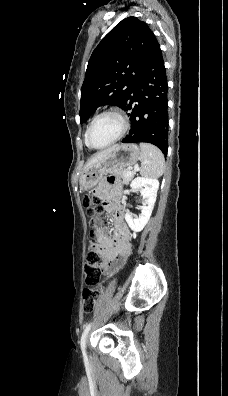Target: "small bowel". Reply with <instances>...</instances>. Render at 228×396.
Instances as JSON below:
<instances>
[{
	"label": "small bowel",
	"mask_w": 228,
	"mask_h": 396,
	"mask_svg": "<svg viewBox=\"0 0 228 396\" xmlns=\"http://www.w3.org/2000/svg\"><path fill=\"white\" fill-rule=\"evenodd\" d=\"M120 190L118 185V181L116 177H109L103 184L99 185L95 188V194L104 200L107 208H111L112 203L116 202L118 197L117 194ZM115 193V195H113ZM115 220H116V230L114 234V238H108L104 236H99V247L98 253L105 260L103 264L104 271H108L109 263L112 261H119L124 256L130 253L131 244H130V231L123 220V210L119 207H116L114 210ZM123 221V224L126 226V229L123 233L120 232V223L119 220Z\"/></svg>",
	"instance_id": "c3829d8e"
}]
</instances>
